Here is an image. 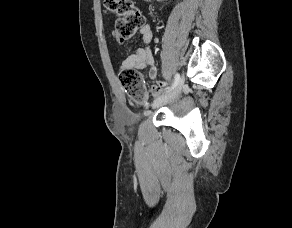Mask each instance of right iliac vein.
I'll use <instances>...</instances> for the list:
<instances>
[{
	"label": "right iliac vein",
	"instance_id": "1",
	"mask_svg": "<svg viewBox=\"0 0 292 228\" xmlns=\"http://www.w3.org/2000/svg\"><path fill=\"white\" fill-rule=\"evenodd\" d=\"M183 83L184 80L182 79L181 82L169 93H167L166 95L157 98L154 103L153 106L154 107H158L164 103H167L168 101L174 99L176 96L179 95V93L181 92L182 88H183Z\"/></svg>",
	"mask_w": 292,
	"mask_h": 228
}]
</instances>
